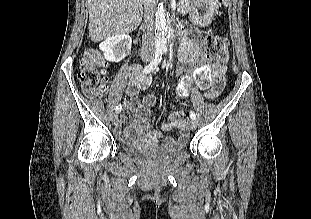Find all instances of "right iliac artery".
I'll list each match as a JSON object with an SVG mask.
<instances>
[{
	"mask_svg": "<svg viewBox=\"0 0 311 219\" xmlns=\"http://www.w3.org/2000/svg\"><path fill=\"white\" fill-rule=\"evenodd\" d=\"M161 60H162V49H157L155 51L154 59L144 68L143 73L147 74L153 71ZM121 109H122L121 104L116 106V113H120Z\"/></svg>",
	"mask_w": 311,
	"mask_h": 219,
	"instance_id": "82829eb1",
	"label": "right iliac artery"
}]
</instances>
